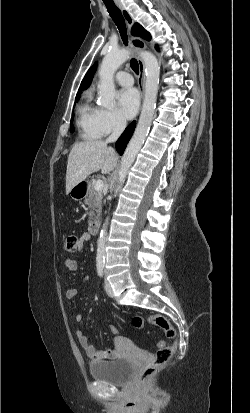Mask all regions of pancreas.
Here are the masks:
<instances>
[{"instance_id": "cf45deb5", "label": "pancreas", "mask_w": 250, "mask_h": 413, "mask_svg": "<svg viewBox=\"0 0 250 413\" xmlns=\"http://www.w3.org/2000/svg\"><path fill=\"white\" fill-rule=\"evenodd\" d=\"M95 181L91 180L88 183V194L86 199V204L91 209L89 214V223L92 224L96 219H98L101 213V204H102V197L103 191H97L94 188Z\"/></svg>"}]
</instances>
